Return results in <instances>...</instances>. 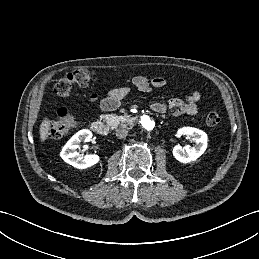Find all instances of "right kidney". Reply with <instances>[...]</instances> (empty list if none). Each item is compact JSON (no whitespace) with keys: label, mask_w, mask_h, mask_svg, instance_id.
Segmentation results:
<instances>
[{"label":"right kidney","mask_w":259,"mask_h":259,"mask_svg":"<svg viewBox=\"0 0 259 259\" xmlns=\"http://www.w3.org/2000/svg\"><path fill=\"white\" fill-rule=\"evenodd\" d=\"M92 138V132L87 129L78 131L63 147L60 156L68 164L78 169L91 167L99 162V156L89 154L80 156L76 149L80 148L81 142H88Z\"/></svg>","instance_id":"ca27d5eb"}]
</instances>
